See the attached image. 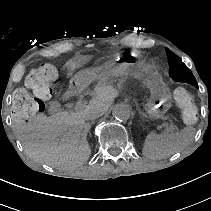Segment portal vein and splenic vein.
Wrapping results in <instances>:
<instances>
[{"label": "portal vein and splenic vein", "mask_w": 211, "mask_h": 211, "mask_svg": "<svg viewBox=\"0 0 211 211\" xmlns=\"http://www.w3.org/2000/svg\"><path fill=\"white\" fill-rule=\"evenodd\" d=\"M166 127H170V123H168V122H166L165 124H164Z\"/></svg>", "instance_id": "portal-vein-and-splenic-vein-1"}]
</instances>
